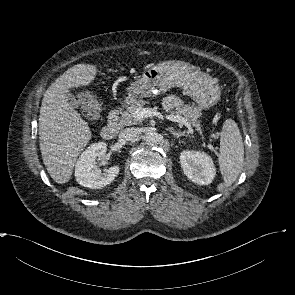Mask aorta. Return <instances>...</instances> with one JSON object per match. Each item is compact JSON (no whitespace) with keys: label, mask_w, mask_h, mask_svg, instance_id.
I'll use <instances>...</instances> for the list:
<instances>
[{"label":"aorta","mask_w":295,"mask_h":295,"mask_svg":"<svg viewBox=\"0 0 295 295\" xmlns=\"http://www.w3.org/2000/svg\"><path fill=\"white\" fill-rule=\"evenodd\" d=\"M145 141L149 146H155L160 143L161 137L157 132H148L145 136Z\"/></svg>","instance_id":"1"}]
</instances>
